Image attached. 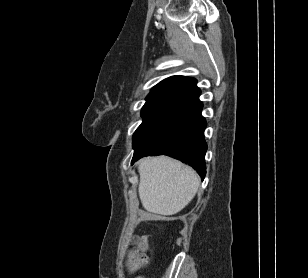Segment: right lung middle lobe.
Returning <instances> with one entry per match:
<instances>
[{
  "label": "right lung middle lobe",
  "instance_id": "obj_1",
  "mask_svg": "<svg viewBox=\"0 0 308 278\" xmlns=\"http://www.w3.org/2000/svg\"><path fill=\"white\" fill-rule=\"evenodd\" d=\"M143 122L133 135V148H137L142 143L156 135L165 128L174 118V115H142Z\"/></svg>",
  "mask_w": 308,
  "mask_h": 278
}]
</instances>
